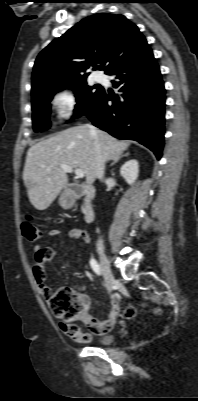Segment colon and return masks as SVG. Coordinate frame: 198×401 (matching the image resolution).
<instances>
[{
  "mask_svg": "<svg viewBox=\"0 0 198 401\" xmlns=\"http://www.w3.org/2000/svg\"><path fill=\"white\" fill-rule=\"evenodd\" d=\"M21 231L23 236L29 241H36L41 237V230L36 226L32 216L27 215L21 222ZM46 298L52 313L63 320L68 335L74 337L78 331L75 321H81L83 324L90 326L95 320V316L91 310H87L83 305L80 296L69 288H60L54 294H49ZM156 313H161L160 309ZM136 309L127 307L123 316L131 318L135 316Z\"/></svg>",
  "mask_w": 198,
  "mask_h": 401,
  "instance_id": "colon-1",
  "label": "colon"
}]
</instances>
